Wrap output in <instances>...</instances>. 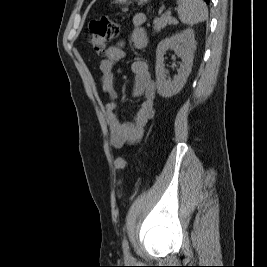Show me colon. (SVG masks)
<instances>
[{
    "instance_id": "obj_1",
    "label": "colon",
    "mask_w": 267,
    "mask_h": 267,
    "mask_svg": "<svg viewBox=\"0 0 267 267\" xmlns=\"http://www.w3.org/2000/svg\"><path fill=\"white\" fill-rule=\"evenodd\" d=\"M89 29V40L92 48L96 53L105 55L109 49V44L118 33V23L107 16H102L93 19L89 24ZM126 166L127 162L125 159L117 158L115 160V168L117 170H123Z\"/></svg>"
}]
</instances>
